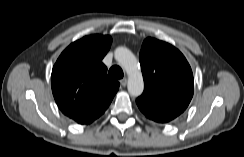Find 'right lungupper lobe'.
I'll return each mask as SVG.
<instances>
[{"mask_svg":"<svg viewBox=\"0 0 244 157\" xmlns=\"http://www.w3.org/2000/svg\"><path fill=\"white\" fill-rule=\"evenodd\" d=\"M112 38L90 35L70 44L56 61L51 75L59 109L79 124H90L109 107L119 83L107 76L101 62Z\"/></svg>","mask_w":244,"mask_h":157,"instance_id":"cb5924a9","label":"right lung upper lobe"}]
</instances>
